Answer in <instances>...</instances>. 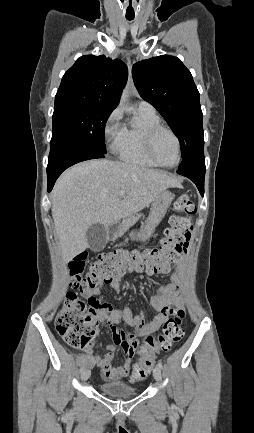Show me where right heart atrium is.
<instances>
[{
    "instance_id": "right-heart-atrium-1",
    "label": "right heart atrium",
    "mask_w": 254,
    "mask_h": 433,
    "mask_svg": "<svg viewBox=\"0 0 254 433\" xmlns=\"http://www.w3.org/2000/svg\"><path fill=\"white\" fill-rule=\"evenodd\" d=\"M121 129V112L116 108L108 115L103 128L104 138L108 143H111L113 148Z\"/></svg>"
}]
</instances>
